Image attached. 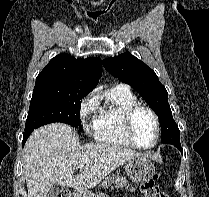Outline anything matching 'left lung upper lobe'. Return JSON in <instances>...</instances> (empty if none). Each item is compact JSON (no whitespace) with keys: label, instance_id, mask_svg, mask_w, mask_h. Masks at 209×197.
I'll list each match as a JSON object with an SVG mask.
<instances>
[{"label":"left lung upper lobe","instance_id":"1","mask_svg":"<svg viewBox=\"0 0 209 197\" xmlns=\"http://www.w3.org/2000/svg\"><path fill=\"white\" fill-rule=\"evenodd\" d=\"M103 66L138 91L155 111L161 123L162 143L180 142L179 128L172 117L167 91L151 68L129 52L104 59Z\"/></svg>","mask_w":209,"mask_h":197}]
</instances>
